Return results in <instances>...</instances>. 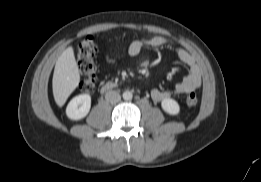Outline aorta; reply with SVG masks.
<instances>
[{
  "instance_id": "1",
  "label": "aorta",
  "mask_w": 261,
  "mask_h": 182,
  "mask_svg": "<svg viewBox=\"0 0 261 182\" xmlns=\"http://www.w3.org/2000/svg\"><path fill=\"white\" fill-rule=\"evenodd\" d=\"M132 97H133V94H132V92L131 91H124L123 92V99L124 100H131L132 99Z\"/></svg>"
}]
</instances>
